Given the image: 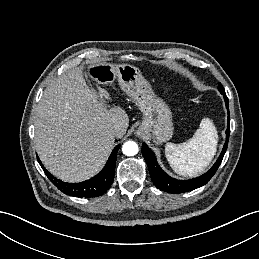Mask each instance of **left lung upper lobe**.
<instances>
[{
	"label": "left lung upper lobe",
	"instance_id": "5c2ea615",
	"mask_svg": "<svg viewBox=\"0 0 259 259\" xmlns=\"http://www.w3.org/2000/svg\"><path fill=\"white\" fill-rule=\"evenodd\" d=\"M218 90L220 91L221 94L225 93L223 86L221 83L218 84Z\"/></svg>",
	"mask_w": 259,
	"mask_h": 259
}]
</instances>
